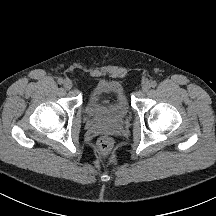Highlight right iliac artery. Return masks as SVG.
Returning <instances> with one entry per match:
<instances>
[{
  "label": "right iliac artery",
  "instance_id": "right-iliac-artery-1",
  "mask_svg": "<svg viewBox=\"0 0 216 216\" xmlns=\"http://www.w3.org/2000/svg\"><path fill=\"white\" fill-rule=\"evenodd\" d=\"M57 82H58L59 84H63L64 81H63L62 78H59Z\"/></svg>",
  "mask_w": 216,
  "mask_h": 216
}]
</instances>
